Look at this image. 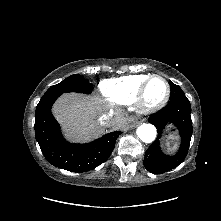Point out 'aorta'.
<instances>
[{"mask_svg": "<svg viewBox=\"0 0 221 221\" xmlns=\"http://www.w3.org/2000/svg\"><path fill=\"white\" fill-rule=\"evenodd\" d=\"M156 128L152 124H142L137 128V136L145 143H151L156 138Z\"/></svg>", "mask_w": 221, "mask_h": 221, "instance_id": "1", "label": "aorta"}]
</instances>
